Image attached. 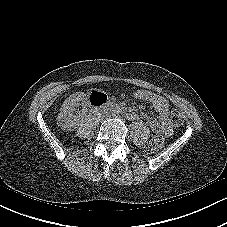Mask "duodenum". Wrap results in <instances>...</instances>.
<instances>
[{
    "instance_id": "obj_1",
    "label": "duodenum",
    "mask_w": 227,
    "mask_h": 227,
    "mask_svg": "<svg viewBox=\"0 0 227 227\" xmlns=\"http://www.w3.org/2000/svg\"><path fill=\"white\" fill-rule=\"evenodd\" d=\"M91 106L97 109L107 103V97L105 95L97 96L90 100ZM123 115L131 120H136L138 116L135 113L123 111Z\"/></svg>"
}]
</instances>
